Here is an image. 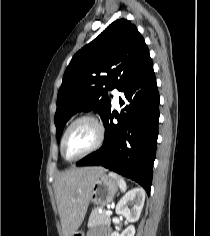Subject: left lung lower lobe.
<instances>
[{
    "label": "left lung lower lobe",
    "mask_w": 210,
    "mask_h": 236,
    "mask_svg": "<svg viewBox=\"0 0 210 236\" xmlns=\"http://www.w3.org/2000/svg\"><path fill=\"white\" fill-rule=\"evenodd\" d=\"M126 105L121 114L110 111L104 120L105 140L96 152L77 165H101L138 182L150 195L155 160L159 93L152 60L148 61L121 89ZM117 118L118 124L113 123Z\"/></svg>",
    "instance_id": "0a47b994"
}]
</instances>
